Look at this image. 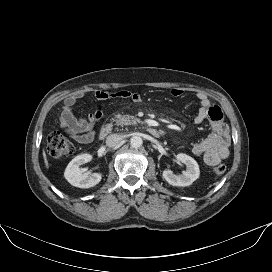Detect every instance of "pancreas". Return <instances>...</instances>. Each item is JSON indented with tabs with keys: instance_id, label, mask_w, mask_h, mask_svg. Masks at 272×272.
Returning <instances> with one entry per match:
<instances>
[{
	"instance_id": "pancreas-1",
	"label": "pancreas",
	"mask_w": 272,
	"mask_h": 272,
	"mask_svg": "<svg viewBox=\"0 0 272 272\" xmlns=\"http://www.w3.org/2000/svg\"><path fill=\"white\" fill-rule=\"evenodd\" d=\"M114 121L117 123V125L124 126L129 124H135L138 119L130 115L116 114Z\"/></svg>"
}]
</instances>
